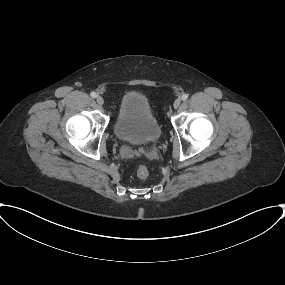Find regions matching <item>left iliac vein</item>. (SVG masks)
<instances>
[{"label":"left iliac vein","mask_w":285,"mask_h":285,"mask_svg":"<svg viewBox=\"0 0 285 285\" xmlns=\"http://www.w3.org/2000/svg\"><path fill=\"white\" fill-rule=\"evenodd\" d=\"M180 104H181V100H180V99H176V100L174 101L173 106H174V108L176 109V108H178V107L180 106Z\"/></svg>","instance_id":"obj_1"}]
</instances>
